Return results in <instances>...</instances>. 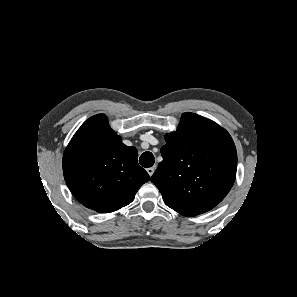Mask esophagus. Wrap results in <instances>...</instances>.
I'll use <instances>...</instances> for the list:
<instances>
[{
  "instance_id": "obj_1",
  "label": "esophagus",
  "mask_w": 297,
  "mask_h": 297,
  "mask_svg": "<svg viewBox=\"0 0 297 297\" xmlns=\"http://www.w3.org/2000/svg\"><path fill=\"white\" fill-rule=\"evenodd\" d=\"M147 173L149 174V176H152L154 171H155V168L154 167H150V168H147Z\"/></svg>"
}]
</instances>
